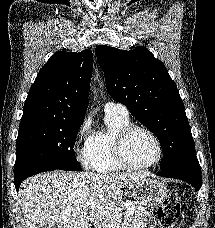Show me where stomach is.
I'll return each mask as SVG.
<instances>
[{
  "label": "stomach",
  "mask_w": 215,
  "mask_h": 228,
  "mask_svg": "<svg viewBox=\"0 0 215 228\" xmlns=\"http://www.w3.org/2000/svg\"><path fill=\"white\" fill-rule=\"evenodd\" d=\"M130 188L135 200L143 202V204H150V206H160L168 194L165 184L159 180H153V178H143L137 184H132ZM150 222V228H156L154 214H151Z\"/></svg>",
  "instance_id": "stomach-1"
}]
</instances>
